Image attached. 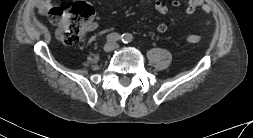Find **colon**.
I'll return each instance as SVG.
<instances>
[{"mask_svg":"<svg viewBox=\"0 0 253 138\" xmlns=\"http://www.w3.org/2000/svg\"><path fill=\"white\" fill-rule=\"evenodd\" d=\"M94 16L93 7L87 2H76L70 8L53 7L49 10V17L57 26V37L66 45L76 44L89 29ZM200 35H189L186 41L189 44L201 43Z\"/></svg>","mask_w":253,"mask_h":138,"instance_id":"5ec220e1","label":"colon"}]
</instances>
